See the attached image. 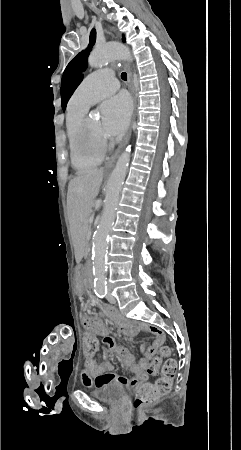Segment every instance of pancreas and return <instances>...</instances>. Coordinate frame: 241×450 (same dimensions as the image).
<instances>
[{
    "mask_svg": "<svg viewBox=\"0 0 241 450\" xmlns=\"http://www.w3.org/2000/svg\"><path fill=\"white\" fill-rule=\"evenodd\" d=\"M87 231H90V230H88V228H87V230H85V238H86V240H89V234H87Z\"/></svg>",
    "mask_w": 241,
    "mask_h": 450,
    "instance_id": "cf45deb5",
    "label": "pancreas"
}]
</instances>
